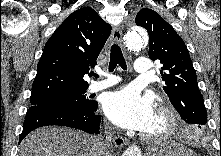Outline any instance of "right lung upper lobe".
<instances>
[{
    "instance_id": "obj_1",
    "label": "right lung upper lobe",
    "mask_w": 221,
    "mask_h": 156,
    "mask_svg": "<svg viewBox=\"0 0 221 156\" xmlns=\"http://www.w3.org/2000/svg\"><path fill=\"white\" fill-rule=\"evenodd\" d=\"M111 26L90 7L74 11L45 44L31 99L84 90L83 79L110 36Z\"/></svg>"
}]
</instances>
